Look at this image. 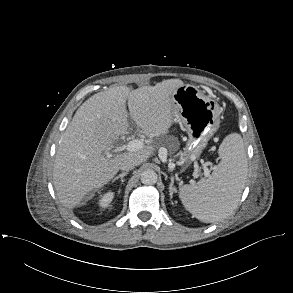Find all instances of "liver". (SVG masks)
<instances>
[{
  "instance_id": "liver-1",
  "label": "liver",
  "mask_w": 293,
  "mask_h": 293,
  "mask_svg": "<svg viewBox=\"0 0 293 293\" xmlns=\"http://www.w3.org/2000/svg\"><path fill=\"white\" fill-rule=\"evenodd\" d=\"M183 84L179 79H169L132 91L116 86L86 100L62 134L56 153L53 184L60 203L69 209L80 207L86 195L117 174L124 159L130 158L136 165L147 161L152 146L109 157L110 145L130 126L126 99L131 119L141 132L160 137L174 122L177 109L172 95Z\"/></svg>"
}]
</instances>
